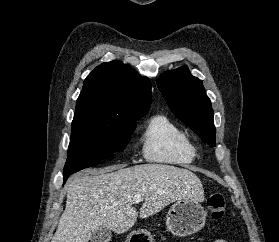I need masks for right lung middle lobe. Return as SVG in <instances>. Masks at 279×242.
<instances>
[{"label": "right lung middle lobe", "instance_id": "1", "mask_svg": "<svg viewBox=\"0 0 279 242\" xmlns=\"http://www.w3.org/2000/svg\"><path fill=\"white\" fill-rule=\"evenodd\" d=\"M136 121L74 117L64 178L126 148Z\"/></svg>", "mask_w": 279, "mask_h": 242}]
</instances>
